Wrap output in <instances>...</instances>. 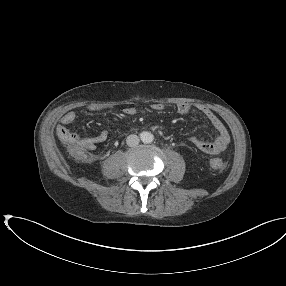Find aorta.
<instances>
[{"instance_id":"1","label":"aorta","mask_w":286,"mask_h":286,"mask_svg":"<svg viewBox=\"0 0 286 286\" xmlns=\"http://www.w3.org/2000/svg\"><path fill=\"white\" fill-rule=\"evenodd\" d=\"M141 139L144 143H151L154 139V136L150 132H143L141 135Z\"/></svg>"}]
</instances>
